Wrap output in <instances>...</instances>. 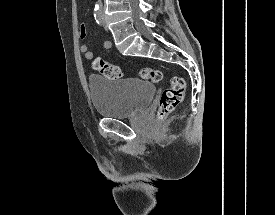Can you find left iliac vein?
<instances>
[{"instance_id":"1","label":"left iliac vein","mask_w":275,"mask_h":215,"mask_svg":"<svg viewBox=\"0 0 275 215\" xmlns=\"http://www.w3.org/2000/svg\"><path fill=\"white\" fill-rule=\"evenodd\" d=\"M102 11H104V8H101ZM103 27L105 30H107V25H106V22H105V18H103Z\"/></svg>"}]
</instances>
